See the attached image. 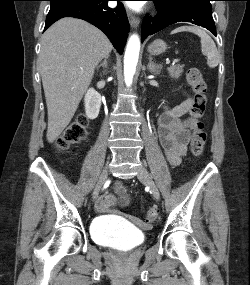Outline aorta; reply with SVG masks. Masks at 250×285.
<instances>
[{"label": "aorta", "mask_w": 250, "mask_h": 285, "mask_svg": "<svg viewBox=\"0 0 250 285\" xmlns=\"http://www.w3.org/2000/svg\"><path fill=\"white\" fill-rule=\"evenodd\" d=\"M140 51V39L138 35H132L127 43L124 55V79L127 87H130L136 71Z\"/></svg>", "instance_id": "aorta-1"}]
</instances>
